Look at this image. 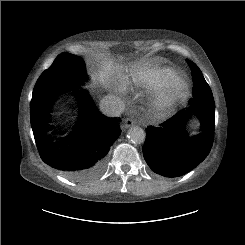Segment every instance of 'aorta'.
Listing matches in <instances>:
<instances>
[{"mask_svg":"<svg viewBox=\"0 0 245 245\" xmlns=\"http://www.w3.org/2000/svg\"><path fill=\"white\" fill-rule=\"evenodd\" d=\"M128 138L133 143L141 144L145 141L146 134L142 128L136 126L129 129Z\"/></svg>","mask_w":245,"mask_h":245,"instance_id":"obj_1","label":"aorta"}]
</instances>
